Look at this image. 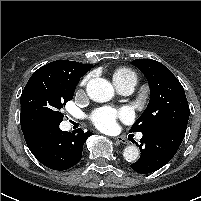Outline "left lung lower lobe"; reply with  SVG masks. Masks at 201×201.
Returning <instances> with one entry per match:
<instances>
[{
    "mask_svg": "<svg viewBox=\"0 0 201 201\" xmlns=\"http://www.w3.org/2000/svg\"><path fill=\"white\" fill-rule=\"evenodd\" d=\"M186 128L187 124L169 122L144 131L141 144L138 145L141 157L130 167L140 174L151 173L163 167L176 154Z\"/></svg>",
    "mask_w": 201,
    "mask_h": 201,
    "instance_id": "1",
    "label": "left lung lower lobe"
}]
</instances>
